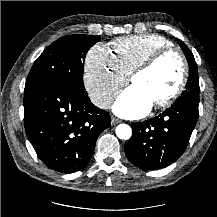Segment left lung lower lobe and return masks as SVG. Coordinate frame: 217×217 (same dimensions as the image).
Listing matches in <instances>:
<instances>
[{"label": "left lung lower lobe", "instance_id": "1", "mask_svg": "<svg viewBox=\"0 0 217 217\" xmlns=\"http://www.w3.org/2000/svg\"><path fill=\"white\" fill-rule=\"evenodd\" d=\"M199 102L179 100L162 114L132 123L125 145L128 160L142 170L167 167L185 151L198 120Z\"/></svg>", "mask_w": 217, "mask_h": 217}]
</instances>
